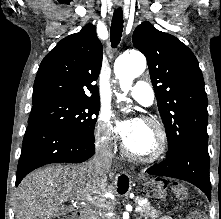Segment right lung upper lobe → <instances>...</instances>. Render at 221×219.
I'll use <instances>...</instances> for the list:
<instances>
[{
    "instance_id": "right-lung-upper-lobe-1",
    "label": "right lung upper lobe",
    "mask_w": 221,
    "mask_h": 219,
    "mask_svg": "<svg viewBox=\"0 0 221 219\" xmlns=\"http://www.w3.org/2000/svg\"><path fill=\"white\" fill-rule=\"evenodd\" d=\"M102 56V44L92 24L65 37L41 62L32 102L45 99L99 101V89L94 82L99 76Z\"/></svg>"
}]
</instances>
